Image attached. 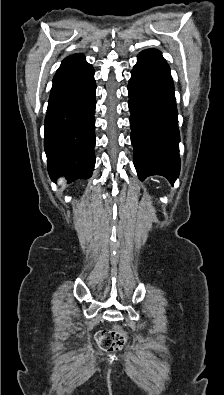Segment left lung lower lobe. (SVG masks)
<instances>
[{"mask_svg":"<svg viewBox=\"0 0 224 395\" xmlns=\"http://www.w3.org/2000/svg\"><path fill=\"white\" fill-rule=\"evenodd\" d=\"M128 84L131 142L140 180L165 176L173 183L179 175L178 113L170 68L160 51L138 55Z\"/></svg>","mask_w":224,"mask_h":395,"instance_id":"obj_1","label":"left lung lower lobe"}]
</instances>
